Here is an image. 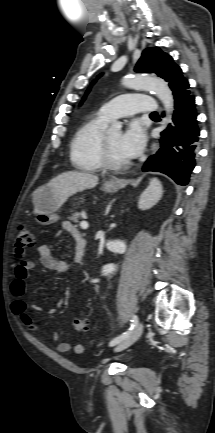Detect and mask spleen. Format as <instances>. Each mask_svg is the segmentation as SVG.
Instances as JSON below:
<instances>
[{
  "label": "spleen",
  "instance_id": "1",
  "mask_svg": "<svg viewBox=\"0 0 215 433\" xmlns=\"http://www.w3.org/2000/svg\"><path fill=\"white\" fill-rule=\"evenodd\" d=\"M163 189L160 181L153 178L148 188L142 193L139 199V208L147 209L155 205L162 197Z\"/></svg>",
  "mask_w": 215,
  "mask_h": 433
}]
</instances>
